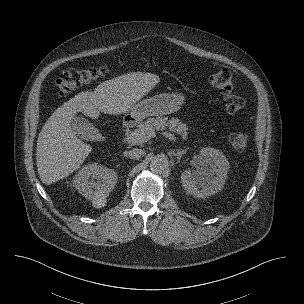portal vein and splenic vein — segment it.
Instances as JSON below:
<instances>
[{"label":"portal vein and splenic vein","mask_w":304,"mask_h":304,"mask_svg":"<svg viewBox=\"0 0 304 304\" xmlns=\"http://www.w3.org/2000/svg\"><path fill=\"white\" fill-rule=\"evenodd\" d=\"M163 135H164L165 137H167L168 139H170L171 141H174V142L177 141V138L174 137V136H173L171 133H169V132H163ZM133 136H134V134H132V135H130V136L127 137L128 143H131V144H135V143H136V140L134 139ZM150 136H151V137H154V136H155V133H152Z\"/></svg>","instance_id":"1"}]
</instances>
